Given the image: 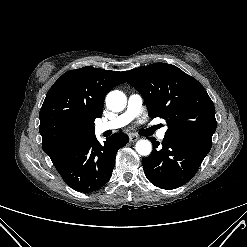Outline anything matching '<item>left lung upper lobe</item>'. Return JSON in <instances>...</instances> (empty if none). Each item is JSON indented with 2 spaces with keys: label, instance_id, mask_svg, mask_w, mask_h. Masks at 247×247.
I'll return each mask as SVG.
<instances>
[{
  "label": "left lung upper lobe",
  "instance_id": "5c2ea615",
  "mask_svg": "<svg viewBox=\"0 0 247 247\" xmlns=\"http://www.w3.org/2000/svg\"><path fill=\"white\" fill-rule=\"evenodd\" d=\"M122 73L144 97L148 114L166 120V138L210 151L216 130L215 108L195 78L167 63H155Z\"/></svg>",
  "mask_w": 247,
  "mask_h": 247
}]
</instances>
